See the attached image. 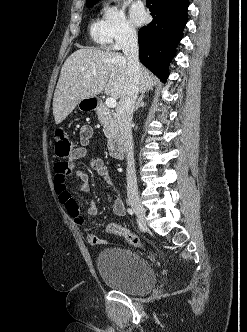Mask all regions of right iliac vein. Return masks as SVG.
Masks as SVG:
<instances>
[{
  "instance_id": "right-iliac-vein-1",
  "label": "right iliac vein",
  "mask_w": 247,
  "mask_h": 332,
  "mask_svg": "<svg viewBox=\"0 0 247 332\" xmlns=\"http://www.w3.org/2000/svg\"><path fill=\"white\" fill-rule=\"evenodd\" d=\"M130 205L133 208L134 212L136 213L140 222L145 226L146 225V213H145V209L142 206V204L138 200L132 199V200H130Z\"/></svg>"
}]
</instances>
